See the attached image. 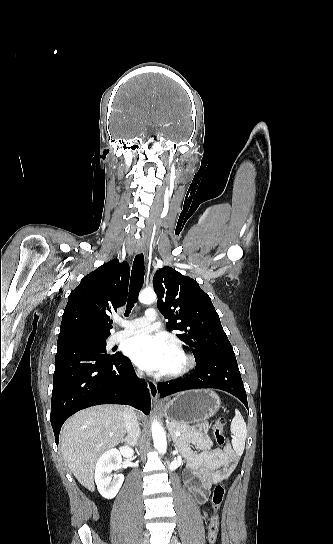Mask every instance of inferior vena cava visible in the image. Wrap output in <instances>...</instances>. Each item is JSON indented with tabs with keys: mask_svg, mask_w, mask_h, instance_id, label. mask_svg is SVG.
Masks as SVG:
<instances>
[{
	"mask_svg": "<svg viewBox=\"0 0 333 544\" xmlns=\"http://www.w3.org/2000/svg\"><path fill=\"white\" fill-rule=\"evenodd\" d=\"M139 376H142V373H138ZM123 417L124 423L127 430V437L129 439L130 445H135L140 436V427L138 423V418L135 413V410L129 406L123 407Z\"/></svg>",
	"mask_w": 333,
	"mask_h": 544,
	"instance_id": "obj_1",
	"label": "inferior vena cava"
}]
</instances>
